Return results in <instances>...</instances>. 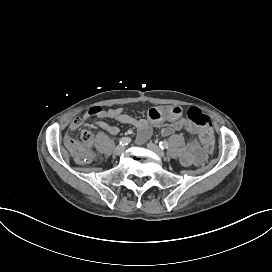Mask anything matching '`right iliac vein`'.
Listing matches in <instances>:
<instances>
[{
    "label": "right iliac vein",
    "mask_w": 272,
    "mask_h": 272,
    "mask_svg": "<svg viewBox=\"0 0 272 272\" xmlns=\"http://www.w3.org/2000/svg\"><path fill=\"white\" fill-rule=\"evenodd\" d=\"M125 150V147L122 145H118L115 149H114V154L115 155H120L121 153H123Z\"/></svg>",
    "instance_id": "right-iliac-vein-1"
}]
</instances>
